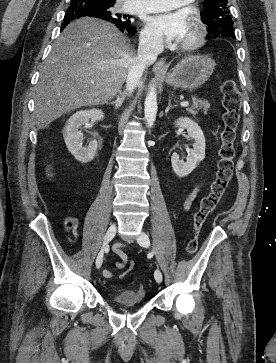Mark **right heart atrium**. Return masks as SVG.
I'll return each instance as SVG.
<instances>
[{
  "mask_svg": "<svg viewBox=\"0 0 276 363\" xmlns=\"http://www.w3.org/2000/svg\"><path fill=\"white\" fill-rule=\"evenodd\" d=\"M142 39L143 42L147 45H158L159 44V39L154 36L149 30L145 29L142 32Z\"/></svg>",
  "mask_w": 276,
  "mask_h": 363,
  "instance_id": "1",
  "label": "right heart atrium"
}]
</instances>
